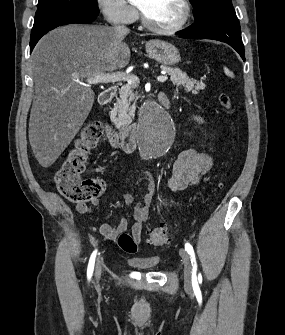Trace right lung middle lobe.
Segmentation results:
<instances>
[{"mask_svg":"<svg viewBox=\"0 0 285 335\" xmlns=\"http://www.w3.org/2000/svg\"><path fill=\"white\" fill-rule=\"evenodd\" d=\"M60 11H79L98 15L95 0H39L35 20Z\"/></svg>","mask_w":285,"mask_h":335,"instance_id":"1","label":"right lung middle lobe"}]
</instances>
